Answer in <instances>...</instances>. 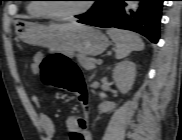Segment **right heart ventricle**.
I'll return each instance as SVG.
<instances>
[{"mask_svg":"<svg viewBox=\"0 0 182 140\" xmlns=\"http://www.w3.org/2000/svg\"><path fill=\"white\" fill-rule=\"evenodd\" d=\"M32 1H39V0H32ZM28 13L32 17L36 18L46 16L43 10L41 9V5L36 2H32L28 5Z\"/></svg>","mask_w":182,"mask_h":140,"instance_id":"right-heart-ventricle-1","label":"right heart ventricle"}]
</instances>
